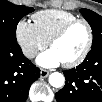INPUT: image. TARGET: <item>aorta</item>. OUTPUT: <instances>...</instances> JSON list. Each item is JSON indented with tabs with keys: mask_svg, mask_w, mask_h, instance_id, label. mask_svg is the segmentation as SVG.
Here are the masks:
<instances>
[{
	"mask_svg": "<svg viewBox=\"0 0 102 102\" xmlns=\"http://www.w3.org/2000/svg\"><path fill=\"white\" fill-rule=\"evenodd\" d=\"M49 84L55 88H61L64 86L65 78L59 72H54L49 75Z\"/></svg>",
	"mask_w": 102,
	"mask_h": 102,
	"instance_id": "762f6f07",
	"label": "aorta"
}]
</instances>
